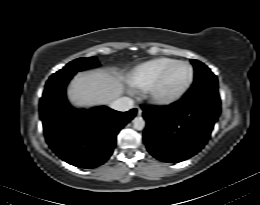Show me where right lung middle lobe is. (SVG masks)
<instances>
[{
	"mask_svg": "<svg viewBox=\"0 0 260 205\" xmlns=\"http://www.w3.org/2000/svg\"><path fill=\"white\" fill-rule=\"evenodd\" d=\"M99 63L97 62L95 57L90 58H78L73 60L69 64H67L63 69L56 72V74L66 73V72H77L81 70H85L91 67L98 66Z\"/></svg>",
	"mask_w": 260,
	"mask_h": 205,
	"instance_id": "obj_1",
	"label": "right lung middle lobe"
}]
</instances>
